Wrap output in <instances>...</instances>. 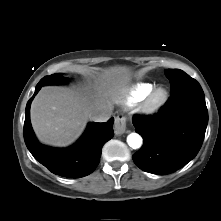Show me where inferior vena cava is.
I'll use <instances>...</instances> for the list:
<instances>
[{
    "label": "inferior vena cava",
    "mask_w": 221,
    "mask_h": 221,
    "mask_svg": "<svg viewBox=\"0 0 221 221\" xmlns=\"http://www.w3.org/2000/svg\"><path fill=\"white\" fill-rule=\"evenodd\" d=\"M111 116V109L109 108H101L95 110L91 116L90 119L94 122H106Z\"/></svg>",
    "instance_id": "inferior-vena-cava-1"
}]
</instances>
